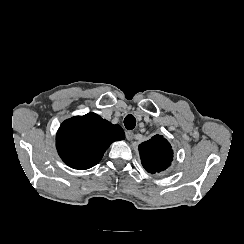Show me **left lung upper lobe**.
Returning <instances> with one entry per match:
<instances>
[{
	"label": "left lung upper lobe",
	"instance_id": "5c2ea615",
	"mask_svg": "<svg viewBox=\"0 0 244 244\" xmlns=\"http://www.w3.org/2000/svg\"><path fill=\"white\" fill-rule=\"evenodd\" d=\"M138 149L143 167L152 174L166 170L172 162V147L161 135L141 143Z\"/></svg>",
	"mask_w": 244,
	"mask_h": 244
}]
</instances>
